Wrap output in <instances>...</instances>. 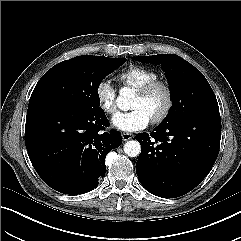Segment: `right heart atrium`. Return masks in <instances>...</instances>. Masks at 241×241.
Here are the masks:
<instances>
[{
	"label": "right heart atrium",
	"instance_id": "right-heart-atrium-1",
	"mask_svg": "<svg viewBox=\"0 0 241 241\" xmlns=\"http://www.w3.org/2000/svg\"><path fill=\"white\" fill-rule=\"evenodd\" d=\"M94 93L99 107L106 114L112 115L116 112V90L110 80H100L95 87Z\"/></svg>",
	"mask_w": 241,
	"mask_h": 241
}]
</instances>
